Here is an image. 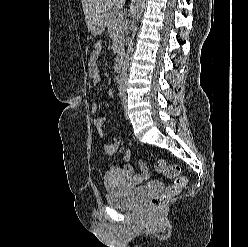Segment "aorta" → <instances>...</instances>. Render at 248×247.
<instances>
[{"instance_id":"obj_1","label":"aorta","mask_w":248,"mask_h":247,"mask_svg":"<svg viewBox=\"0 0 248 247\" xmlns=\"http://www.w3.org/2000/svg\"><path fill=\"white\" fill-rule=\"evenodd\" d=\"M145 1L146 0H134L135 2L134 8H133L134 22L132 26V34H131V37L128 38L127 40V53L125 54V58H124L123 66H122V72L120 74V79H119V85L123 87L127 83L128 67H129V60H130L129 54L133 50L134 38H135L136 31H137V22L141 18V15H142V12L145 6Z\"/></svg>"}]
</instances>
